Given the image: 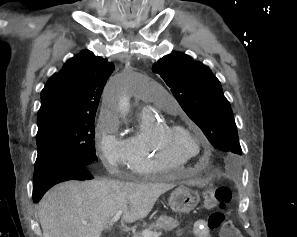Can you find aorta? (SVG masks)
Here are the masks:
<instances>
[{
    "instance_id": "obj_1",
    "label": "aorta",
    "mask_w": 297,
    "mask_h": 237,
    "mask_svg": "<svg viewBox=\"0 0 297 237\" xmlns=\"http://www.w3.org/2000/svg\"><path fill=\"white\" fill-rule=\"evenodd\" d=\"M130 103L129 99L126 96L120 98L119 108L122 113H127L129 111Z\"/></svg>"
}]
</instances>
